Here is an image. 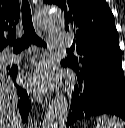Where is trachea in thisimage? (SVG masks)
<instances>
[{"label": "trachea", "instance_id": "obj_1", "mask_svg": "<svg viewBox=\"0 0 125 128\" xmlns=\"http://www.w3.org/2000/svg\"><path fill=\"white\" fill-rule=\"evenodd\" d=\"M22 25L24 30L22 38L15 42H9L14 52H20L31 44L47 47V44L35 32L28 0H22Z\"/></svg>", "mask_w": 125, "mask_h": 128}]
</instances>
